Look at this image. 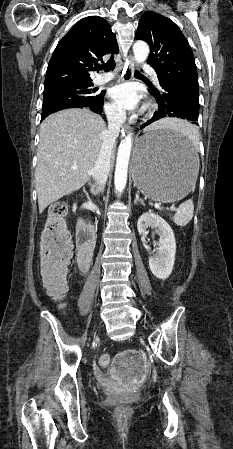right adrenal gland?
I'll return each instance as SVG.
<instances>
[{
    "label": "right adrenal gland",
    "mask_w": 233,
    "mask_h": 449,
    "mask_svg": "<svg viewBox=\"0 0 233 449\" xmlns=\"http://www.w3.org/2000/svg\"><path fill=\"white\" fill-rule=\"evenodd\" d=\"M88 185L90 186L91 194L96 195L98 193V190L96 189V185L92 183L91 181L88 182Z\"/></svg>",
    "instance_id": "right-adrenal-gland-1"
}]
</instances>
